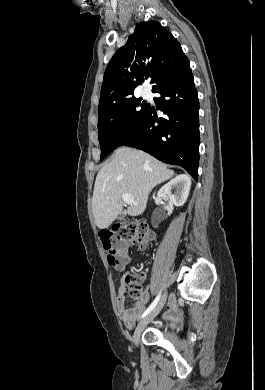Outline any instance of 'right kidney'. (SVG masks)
<instances>
[{"mask_svg": "<svg viewBox=\"0 0 265 390\" xmlns=\"http://www.w3.org/2000/svg\"><path fill=\"white\" fill-rule=\"evenodd\" d=\"M191 179L181 174L165 184L158 192V197L166 196L175 206L183 205L189 195Z\"/></svg>", "mask_w": 265, "mask_h": 390, "instance_id": "obj_1", "label": "right kidney"}]
</instances>
